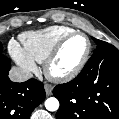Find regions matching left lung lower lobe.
I'll list each match as a JSON object with an SVG mask.
<instances>
[{
    "label": "left lung lower lobe",
    "mask_w": 119,
    "mask_h": 119,
    "mask_svg": "<svg viewBox=\"0 0 119 119\" xmlns=\"http://www.w3.org/2000/svg\"><path fill=\"white\" fill-rule=\"evenodd\" d=\"M53 94L60 102L57 119H119V50L111 44L103 47Z\"/></svg>",
    "instance_id": "0a47b994"
}]
</instances>
